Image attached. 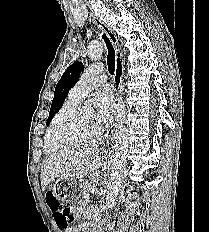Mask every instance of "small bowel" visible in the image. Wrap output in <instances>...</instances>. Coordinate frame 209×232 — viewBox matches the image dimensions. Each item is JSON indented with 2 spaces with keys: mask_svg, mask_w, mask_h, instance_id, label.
I'll return each mask as SVG.
<instances>
[{
  "mask_svg": "<svg viewBox=\"0 0 209 232\" xmlns=\"http://www.w3.org/2000/svg\"><path fill=\"white\" fill-rule=\"evenodd\" d=\"M84 215H87V213L83 209L79 210L78 213H77L78 217H81V216H84ZM61 229H63V228H61ZM63 231L64 232H81V230L79 228H77V227H69V226L67 228H64Z\"/></svg>",
  "mask_w": 209,
  "mask_h": 232,
  "instance_id": "obj_1",
  "label": "small bowel"
}]
</instances>
